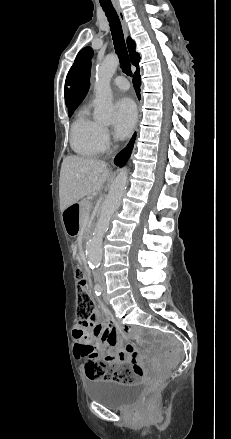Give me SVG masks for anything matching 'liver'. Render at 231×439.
Returning <instances> with one entry per match:
<instances>
[{
  "label": "liver",
  "mask_w": 231,
  "mask_h": 439,
  "mask_svg": "<svg viewBox=\"0 0 231 439\" xmlns=\"http://www.w3.org/2000/svg\"><path fill=\"white\" fill-rule=\"evenodd\" d=\"M109 175L104 161L78 156L64 158L59 180L61 211L84 196L100 191Z\"/></svg>",
  "instance_id": "6515ba94"
}]
</instances>
